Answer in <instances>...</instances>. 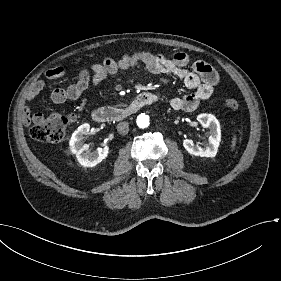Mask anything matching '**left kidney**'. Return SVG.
<instances>
[{
    "label": "left kidney",
    "instance_id": "left-kidney-1",
    "mask_svg": "<svg viewBox=\"0 0 281 281\" xmlns=\"http://www.w3.org/2000/svg\"><path fill=\"white\" fill-rule=\"evenodd\" d=\"M197 120L204 128L210 129L208 143L204 147L195 145L190 139L183 141L184 148L192 155L200 157H215L221 141L220 123L212 114H199Z\"/></svg>",
    "mask_w": 281,
    "mask_h": 281
}]
</instances>
